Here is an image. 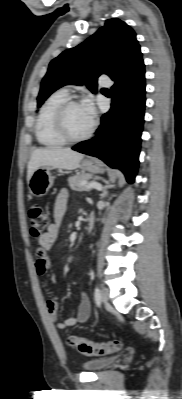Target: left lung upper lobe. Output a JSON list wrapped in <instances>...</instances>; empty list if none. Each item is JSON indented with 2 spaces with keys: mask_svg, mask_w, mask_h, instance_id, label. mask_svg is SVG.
<instances>
[{
  "mask_svg": "<svg viewBox=\"0 0 182 399\" xmlns=\"http://www.w3.org/2000/svg\"><path fill=\"white\" fill-rule=\"evenodd\" d=\"M143 62L133 29L119 19H109L80 45L53 59L42 80L38 107L58 88L86 85L97 92V78L107 74L113 81L128 76Z\"/></svg>",
  "mask_w": 182,
  "mask_h": 399,
  "instance_id": "obj_1",
  "label": "left lung upper lobe"
}]
</instances>
